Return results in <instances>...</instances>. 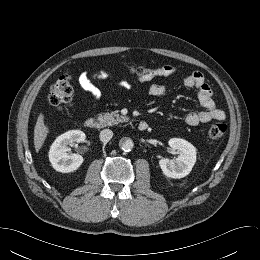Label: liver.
<instances>
[{
    "instance_id": "obj_1",
    "label": "liver",
    "mask_w": 260,
    "mask_h": 260,
    "mask_svg": "<svg viewBox=\"0 0 260 260\" xmlns=\"http://www.w3.org/2000/svg\"><path fill=\"white\" fill-rule=\"evenodd\" d=\"M49 132L48 127L44 124V115L39 114L36 125L34 127V147L36 152L42 147L47 134Z\"/></svg>"
}]
</instances>
